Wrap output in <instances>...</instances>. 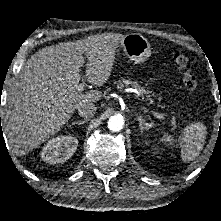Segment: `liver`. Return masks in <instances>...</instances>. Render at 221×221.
<instances>
[{"instance_id": "6515ba94", "label": "liver", "mask_w": 221, "mask_h": 221, "mask_svg": "<svg viewBox=\"0 0 221 221\" xmlns=\"http://www.w3.org/2000/svg\"><path fill=\"white\" fill-rule=\"evenodd\" d=\"M119 33H103L59 43L35 53L25 64L8 99L4 130L17 156L36 149L58 133L83 104L100 100L102 93L78 92L86 55V78L103 86L110 77Z\"/></svg>"}]
</instances>
